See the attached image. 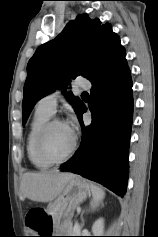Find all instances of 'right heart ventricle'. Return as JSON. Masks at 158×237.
<instances>
[{
	"label": "right heart ventricle",
	"instance_id": "right-heart-ventricle-1",
	"mask_svg": "<svg viewBox=\"0 0 158 237\" xmlns=\"http://www.w3.org/2000/svg\"><path fill=\"white\" fill-rule=\"evenodd\" d=\"M52 114L42 111L36 107L33 119L31 121L26 140V150L30 162L38 169H47L50 163L39 157L36 151V138L44 124L50 120Z\"/></svg>",
	"mask_w": 158,
	"mask_h": 237
}]
</instances>
